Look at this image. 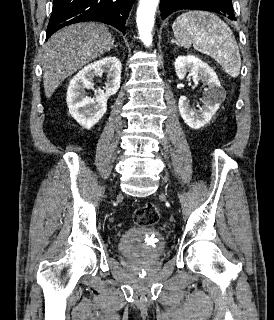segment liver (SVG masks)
<instances>
[{
    "label": "liver",
    "instance_id": "6515ba94",
    "mask_svg": "<svg viewBox=\"0 0 274 320\" xmlns=\"http://www.w3.org/2000/svg\"><path fill=\"white\" fill-rule=\"evenodd\" d=\"M112 40L106 24L98 22L72 24L53 34L45 44L42 56L46 98H51L65 78L109 52Z\"/></svg>",
    "mask_w": 274,
    "mask_h": 320
}]
</instances>
